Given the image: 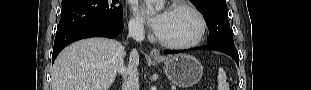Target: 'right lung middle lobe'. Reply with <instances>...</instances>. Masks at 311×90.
I'll use <instances>...</instances> for the list:
<instances>
[{
    "mask_svg": "<svg viewBox=\"0 0 311 90\" xmlns=\"http://www.w3.org/2000/svg\"><path fill=\"white\" fill-rule=\"evenodd\" d=\"M119 0H62V16L57 31L87 22L116 23L123 19Z\"/></svg>",
    "mask_w": 311,
    "mask_h": 90,
    "instance_id": "obj_1",
    "label": "right lung middle lobe"
}]
</instances>
